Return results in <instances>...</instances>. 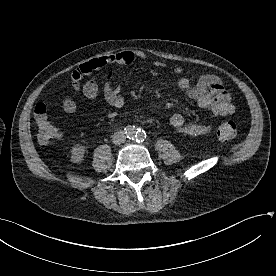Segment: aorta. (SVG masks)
Masks as SVG:
<instances>
[{
  "label": "aorta",
  "instance_id": "aorta-1",
  "mask_svg": "<svg viewBox=\"0 0 276 276\" xmlns=\"http://www.w3.org/2000/svg\"><path fill=\"white\" fill-rule=\"evenodd\" d=\"M129 135L130 137L138 140H143L146 137V134L144 131H136L135 129H131L129 131Z\"/></svg>",
  "mask_w": 276,
  "mask_h": 276
}]
</instances>
